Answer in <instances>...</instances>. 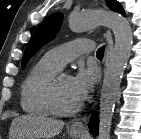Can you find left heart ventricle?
Here are the masks:
<instances>
[{"instance_id":"obj_1","label":"left heart ventricle","mask_w":141,"mask_h":139,"mask_svg":"<svg viewBox=\"0 0 141 139\" xmlns=\"http://www.w3.org/2000/svg\"><path fill=\"white\" fill-rule=\"evenodd\" d=\"M57 96L59 104L63 108H70L79 104L73 94L72 77L65 74L60 76L58 80Z\"/></svg>"}]
</instances>
